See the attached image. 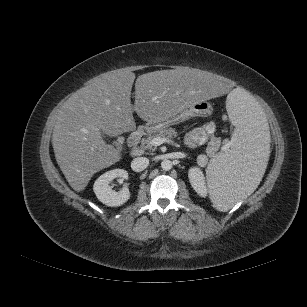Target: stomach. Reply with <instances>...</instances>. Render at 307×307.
<instances>
[{"instance_id": "obj_1", "label": "stomach", "mask_w": 307, "mask_h": 307, "mask_svg": "<svg viewBox=\"0 0 307 307\" xmlns=\"http://www.w3.org/2000/svg\"><path fill=\"white\" fill-rule=\"evenodd\" d=\"M211 112H212V106L210 105V103L206 102L205 100H201L194 104H191L190 106L184 108L182 111L173 116L164 119L148 120L145 125V130L148 132H156L163 127H168L170 125L178 124L191 117L207 116L211 114Z\"/></svg>"}]
</instances>
